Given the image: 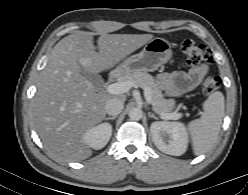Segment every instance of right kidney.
Listing matches in <instances>:
<instances>
[{"instance_id":"1","label":"right kidney","mask_w":248,"mask_h":195,"mask_svg":"<svg viewBox=\"0 0 248 195\" xmlns=\"http://www.w3.org/2000/svg\"><path fill=\"white\" fill-rule=\"evenodd\" d=\"M112 135V126L101 123L87 130L83 135V141L93 149H102L106 146Z\"/></svg>"}]
</instances>
